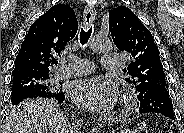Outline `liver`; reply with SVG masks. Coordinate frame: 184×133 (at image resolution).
<instances>
[{"instance_id":"obj_1","label":"liver","mask_w":184,"mask_h":133,"mask_svg":"<svg viewBox=\"0 0 184 133\" xmlns=\"http://www.w3.org/2000/svg\"><path fill=\"white\" fill-rule=\"evenodd\" d=\"M4 133H69L67 119L52 99H27L8 113Z\"/></svg>"}]
</instances>
